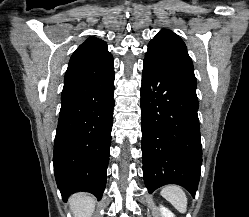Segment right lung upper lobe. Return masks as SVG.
<instances>
[{
    "mask_svg": "<svg viewBox=\"0 0 249 217\" xmlns=\"http://www.w3.org/2000/svg\"><path fill=\"white\" fill-rule=\"evenodd\" d=\"M107 44L98 38L89 37L82 43L70 58L69 65L98 60L109 55Z\"/></svg>",
    "mask_w": 249,
    "mask_h": 217,
    "instance_id": "cb5924a9",
    "label": "right lung upper lobe"
}]
</instances>
